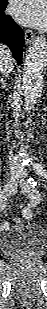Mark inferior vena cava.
Segmentation results:
<instances>
[{"instance_id": "1", "label": "inferior vena cava", "mask_w": 47, "mask_h": 309, "mask_svg": "<svg viewBox=\"0 0 47 309\" xmlns=\"http://www.w3.org/2000/svg\"><path fill=\"white\" fill-rule=\"evenodd\" d=\"M0 53H1V59H0V73L1 75H7L8 73L13 70L14 67V61L11 56L10 51L7 49L5 45L0 46ZM17 170L21 171V167L16 165L15 166Z\"/></svg>"}]
</instances>
